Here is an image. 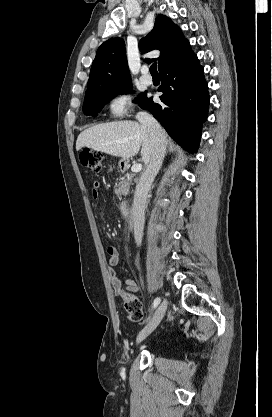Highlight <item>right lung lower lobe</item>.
I'll return each mask as SVG.
<instances>
[{
    "instance_id": "right-lung-lower-lobe-1",
    "label": "right lung lower lobe",
    "mask_w": 272,
    "mask_h": 417,
    "mask_svg": "<svg viewBox=\"0 0 272 417\" xmlns=\"http://www.w3.org/2000/svg\"><path fill=\"white\" fill-rule=\"evenodd\" d=\"M159 73L161 103L146 97L140 107L151 112L179 145L194 153L208 117L210 97L203 67L189 42L161 66Z\"/></svg>"
}]
</instances>
